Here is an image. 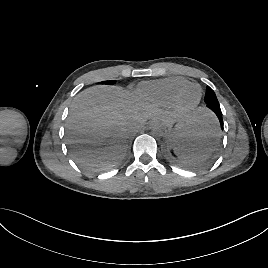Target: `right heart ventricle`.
<instances>
[{
  "label": "right heart ventricle",
  "instance_id": "1",
  "mask_svg": "<svg viewBox=\"0 0 268 268\" xmlns=\"http://www.w3.org/2000/svg\"><path fill=\"white\" fill-rule=\"evenodd\" d=\"M190 82L182 77H170L140 85L139 94L144 99L155 103H168L172 101L176 92Z\"/></svg>",
  "mask_w": 268,
  "mask_h": 268
}]
</instances>
